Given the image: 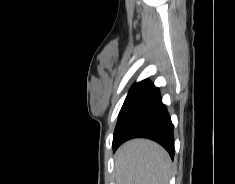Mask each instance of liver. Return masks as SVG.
I'll list each match as a JSON object with an SVG mask.
<instances>
[{
	"mask_svg": "<svg viewBox=\"0 0 235 184\" xmlns=\"http://www.w3.org/2000/svg\"><path fill=\"white\" fill-rule=\"evenodd\" d=\"M114 158L117 184H169L172 178L169 154L152 140H129Z\"/></svg>",
	"mask_w": 235,
	"mask_h": 184,
	"instance_id": "obj_1",
	"label": "liver"
}]
</instances>
